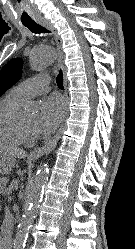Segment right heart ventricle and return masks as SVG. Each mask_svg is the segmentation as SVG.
Here are the masks:
<instances>
[{
    "instance_id": "obj_1",
    "label": "right heart ventricle",
    "mask_w": 135,
    "mask_h": 249,
    "mask_svg": "<svg viewBox=\"0 0 135 249\" xmlns=\"http://www.w3.org/2000/svg\"><path fill=\"white\" fill-rule=\"evenodd\" d=\"M23 102L12 91L0 100V144L18 145L23 142L15 127V117Z\"/></svg>"
}]
</instances>
